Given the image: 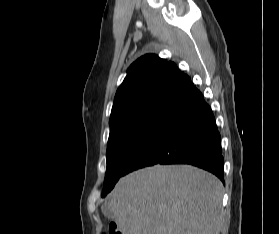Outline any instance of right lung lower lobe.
Masks as SVG:
<instances>
[{
    "label": "right lung lower lobe",
    "mask_w": 279,
    "mask_h": 234,
    "mask_svg": "<svg viewBox=\"0 0 279 234\" xmlns=\"http://www.w3.org/2000/svg\"><path fill=\"white\" fill-rule=\"evenodd\" d=\"M155 164H190L224 183L221 137L210 106L196 88L173 104L128 161L124 175Z\"/></svg>",
    "instance_id": "right-lung-lower-lobe-1"
}]
</instances>
